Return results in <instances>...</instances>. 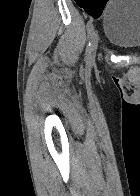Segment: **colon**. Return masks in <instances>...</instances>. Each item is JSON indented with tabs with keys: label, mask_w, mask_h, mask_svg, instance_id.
<instances>
[{
	"label": "colon",
	"mask_w": 140,
	"mask_h": 196,
	"mask_svg": "<svg viewBox=\"0 0 140 196\" xmlns=\"http://www.w3.org/2000/svg\"><path fill=\"white\" fill-rule=\"evenodd\" d=\"M77 3H81L82 1L81 0H75Z\"/></svg>",
	"instance_id": "5ec220e1"
}]
</instances>
